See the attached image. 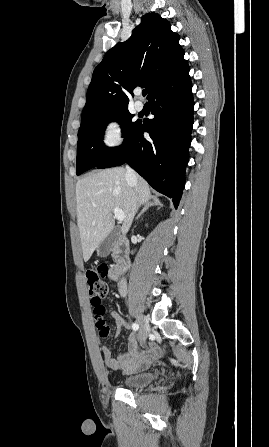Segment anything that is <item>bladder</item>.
Listing matches in <instances>:
<instances>
[{
    "label": "bladder",
    "instance_id": "31cf9c89",
    "mask_svg": "<svg viewBox=\"0 0 269 447\" xmlns=\"http://www.w3.org/2000/svg\"><path fill=\"white\" fill-rule=\"evenodd\" d=\"M159 375L153 370L132 373L123 377L122 383L129 391H136L140 387L149 386Z\"/></svg>",
    "mask_w": 269,
    "mask_h": 447
}]
</instances>
